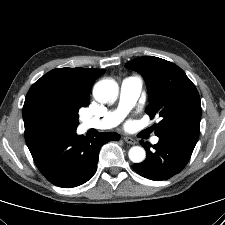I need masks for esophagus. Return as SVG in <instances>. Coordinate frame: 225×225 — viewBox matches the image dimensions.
Instances as JSON below:
<instances>
[{"label":"esophagus","instance_id":"34e87169","mask_svg":"<svg viewBox=\"0 0 225 225\" xmlns=\"http://www.w3.org/2000/svg\"><path fill=\"white\" fill-rule=\"evenodd\" d=\"M123 139H124V141H125L126 143H128V144H131V145L136 144V140L133 139V138L130 137V136H124Z\"/></svg>","mask_w":225,"mask_h":225}]
</instances>
